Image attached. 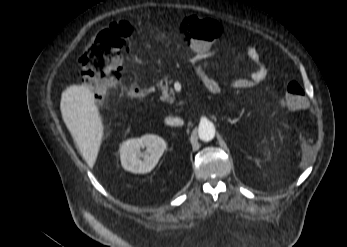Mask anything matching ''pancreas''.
<instances>
[{"mask_svg": "<svg viewBox=\"0 0 347 247\" xmlns=\"http://www.w3.org/2000/svg\"><path fill=\"white\" fill-rule=\"evenodd\" d=\"M171 82L168 81L167 78H164L163 80L159 81L156 86L161 89L162 95L160 96V100L169 102L171 104L175 101V92L172 88H169V84ZM181 104V102L177 103Z\"/></svg>", "mask_w": 347, "mask_h": 247, "instance_id": "1", "label": "pancreas"}]
</instances>
